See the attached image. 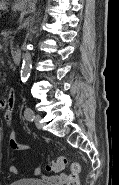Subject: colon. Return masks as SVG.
Masks as SVG:
<instances>
[{
    "mask_svg": "<svg viewBox=\"0 0 119 185\" xmlns=\"http://www.w3.org/2000/svg\"><path fill=\"white\" fill-rule=\"evenodd\" d=\"M68 164H70V174L68 175L66 185H80L79 174L81 166L78 162H71L66 156H59L52 163L47 165V170L53 172L62 171Z\"/></svg>",
    "mask_w": 119,
    "mask_h": 185,
    "instance_id": "colon-1",
    "label": "colon"
}]
</instances>
